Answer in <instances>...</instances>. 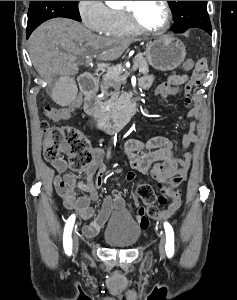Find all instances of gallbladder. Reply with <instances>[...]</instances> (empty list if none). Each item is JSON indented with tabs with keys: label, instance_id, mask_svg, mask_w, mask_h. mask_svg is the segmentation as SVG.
Wrapping results in <instances>:
<instances>
[{
	"label": "gallbladder",
	"instance_id": "gallbladder-1",
	"mask_svg": "<svg viewBox=\"0 0 237 300\" xmlns=\"http://www.w3.org/2000/svg\"><path fill=\"white\" fill-rule=\"evenodd\" d=\"M74 76H60L56 87H51V97L55 105H72L77 92Z\"/></svg>",
	"mask_w": 237,
	"mask_h": 300
}]
</instances>
